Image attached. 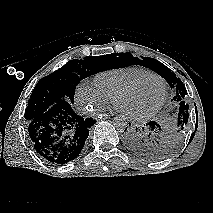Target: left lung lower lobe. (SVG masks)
<instances>
[{
	"instance_id": "0a47b994",
	"label": "left lung lower lobe",
	"mask_w": 213,
	"mask_h": 213,
	"mask_svg": "<svg viewBox=\"0 0 213 213\" xmlns=\"http://www.w3.org/2000/svg\"><path fill=\"white\" fill-rule=\"evenodd\" d=\"M164 126L156 121H150L143 127L125 129V140L128 147L137 155L156 159L157 144Z\"/></svg>"
}]
</instances>
